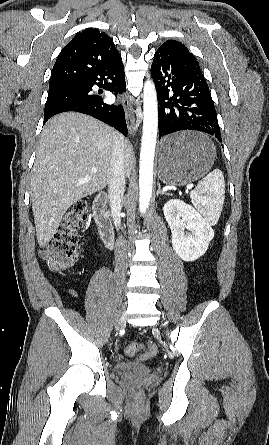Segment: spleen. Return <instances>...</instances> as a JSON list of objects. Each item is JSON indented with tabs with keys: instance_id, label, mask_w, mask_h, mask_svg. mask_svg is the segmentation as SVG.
I'll list each match as a JSON object with an SVG mask.
<instances>
[{
	"instance_id": "spleen-1",
	"label": "spleen",
	"mask_w": 269,
	"mask_h": 445,
	"mask_svg": "<svg viewBox=\"0 0 269 445\" xmlns=\"http://www.w3.org/2000/svg\"><path fill=\"white\" fill-rule=\"evenodd\" d=\"M194 207L210 225L217 224L225 200V180L221 170L214 169L190 192Z\"/></svg>"
}]
</instances>
